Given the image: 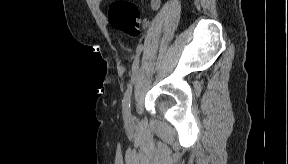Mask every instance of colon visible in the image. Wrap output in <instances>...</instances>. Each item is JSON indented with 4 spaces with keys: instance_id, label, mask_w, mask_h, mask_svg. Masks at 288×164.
I'll return each mask as SVG.
<instances>
[{
    "instance_id": "colon-1",
    "label": "colon",
    "mask_w": 288,
    "mask_h": 164,
    "mask_svg": "<svg viewBox=\"0 0 288 164\" xmlns=\"http://www.w3.org/2000/svg\"><path fill=\"white\" fill-rule=\"evenodd\" d=\"M108 20L114 26L132 37L141 35V13L128 0H115L108 7Z\"/></svg>"
}]
</instances>
